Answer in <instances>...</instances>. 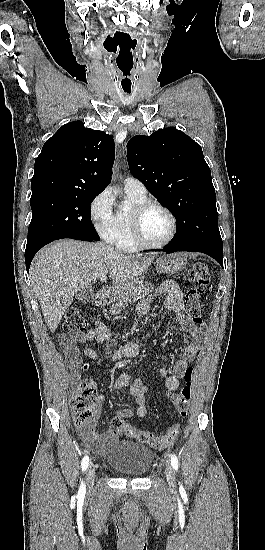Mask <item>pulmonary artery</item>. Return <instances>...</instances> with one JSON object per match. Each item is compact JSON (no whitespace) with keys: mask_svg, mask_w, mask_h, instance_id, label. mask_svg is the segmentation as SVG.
<instances>
[{"mask_svg":"<svg viewBox=\"0 0 265 550\" xmlns=\"http://www.w3.org/2000/svg\"><path fill=\"white\" fill-rule=\"evenodd\" d=\"M124 188L127 191L134 192L139 195H147V190L144 184L133 177H127L124 181Z\"/></svg>","mask_w":265,"mask_h":550,"instance_id":"obj_1","label":"pulmonary artery"}]
</instances>
